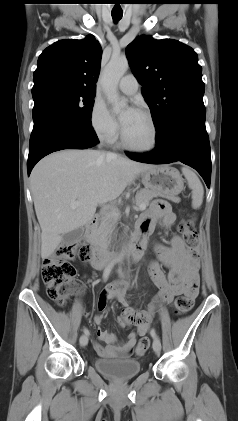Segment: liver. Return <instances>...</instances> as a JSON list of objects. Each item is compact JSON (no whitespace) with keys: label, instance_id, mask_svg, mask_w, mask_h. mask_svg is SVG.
<instances>
[{"label":"liver","instance_id":"6515ba94","mask_svg":"<svg viewBox=\"0 0 238 421\" xmlns=\"http://www.w3.org/2000/svg\"><path fill=\"white\" fill-rule=\"evenodd\" d=\"M151 166L97 150H62L38 162L30 182L42 258L54 253L64 234L87 224L98 203L119 197ZM72 202L80 205L72 209Z\"/></svg>","mask_w":238,"mask_h":421}]
</instances>
